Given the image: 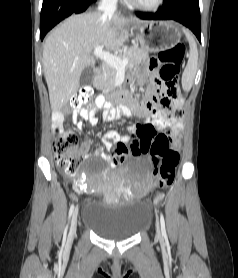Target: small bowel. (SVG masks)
<instances>
[{
    "label": "small bowel",
    "instance_id": "obj_1",
    "mask_svg": "<svg viewBox=\"0 0 238 278\" xmlns=\"http://www.w3.org/2000/svg\"><path fill=\"white\" fill-rule=\"evenodd\" d=\"M161 60L158 55H149L147 67L148 76H151V84L148 86V92L145 98L141 102L129 101L124 104L114 105L108 101L103 95H99L95 101V109L103 110V118L107 121H113L119 119L121 116L132 117L138 115L141 117H154L155 102H159L160 92L162 89H166V84H163V77L157 76V72L162 69ZM131 81H138L139 83H145V75L142 73H136L131 75ZM171 117L169 119V125L165 128L164 132L157 134L159 124L155 120L153 123L147 122L145 124L131 126L128 128L129 135H120L116 130H110L103 134L101 142L103 148L112 149L117 144L135 143L139 142L141 137H153L152 143L154 144H170L169 150H175L180 144V131L182 128V109L181 99L177 94L171 100ZM94 110H75L71 114L72 122L79 128L82 123L78 120V116L87 120L92 126L98 125V118L95 115ZM64 114L60 111H54L52 113V129L54 132H69L63 128ZM92 141L84 142L81 146V151L85 159L92 155L106 158L103 148L97 149L93 154L88 153L89 147ZM154 186L152 181H148L147 188L150 189ZM74 188L77 191H83V183L78 180L74 182Z\"/></svg>",
    "mask_w": 238,
    "mask_h": 278
}]
</instances>
